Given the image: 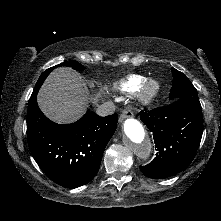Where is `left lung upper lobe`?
I'll return each mask as SVG.
<instances>
[{
    "instance_id": "5c2ea615",
    "label": "left lung upper lobe",
    "mask_w": 221,
    "mask_h": 221,
    "mask_svg": "<svg viewBox=\"0 0 221 221\" xmlns=\"http://www.w3.org/2000/svg\"><path fill=\"white\" fill-rule=\"evenodd\" d=\"M171 70L173 74V83L169 99L174 101L183 98L191 102H199L197 90L189 79L175 68H171Z\"/></svg>"
}]
</instances>
